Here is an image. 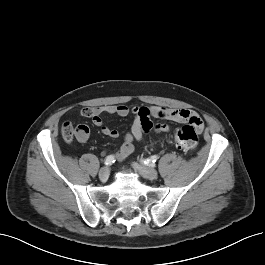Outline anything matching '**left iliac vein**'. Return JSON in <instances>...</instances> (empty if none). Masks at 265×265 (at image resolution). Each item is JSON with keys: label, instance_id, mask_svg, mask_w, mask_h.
Masks as SVG:
<instances>
[{"label": "left iliac vein", "instance_id": "1", "mask_svg": "<svg viewBox=\"0 0 265 265\" xmlns=\"http://www.w3.org/2000/svg\"><path fill=\"white\" fill-rule=\"evenodd\" d=\"M132 166L146 179L155 180L158 177L157 171L150 167H146L137 163H133Z\"/></svg>", "mask_w": 265, "mask_h": 265}]
</instances>
